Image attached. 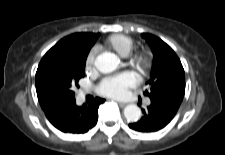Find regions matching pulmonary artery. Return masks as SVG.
Returning a JSON list of instances; mask_svg holds the SVG:
<instances>
[{"mask_svg":"<svg viewBox=\"0 0 225 155\" xmlns=\"http://www.w3.org/2000/svg\"><path fill=\"white\" fill-rule=\"evenodd\" d=\"M145 104H146V105H149V104H150V99H146V100H145Z\"/></svg>","mask_w":225,"mask_h":155,"instance_id":"obj_1","label":"pulmonary artery"}]
</instances>
